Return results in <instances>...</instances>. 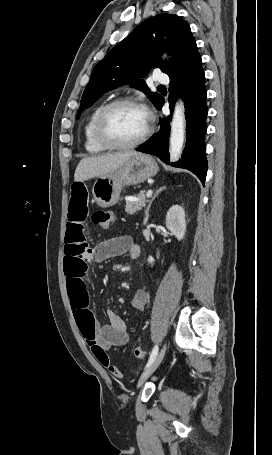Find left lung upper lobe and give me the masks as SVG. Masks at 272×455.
I'll return each instance as SVG.
<instances>
[{"mask_svg": "<svg viewBox=\"0 0 272 455\" xmlns=\"http://www.w3.org/2000/svg\"><path fill=\"white\" fill-rule=\"evenodd\" d=\"M163 52L172 56L171 64L160 62V53ZM198 57L195 39L186 21L175 14H159L148 19L95 66L76 119L104 93L130 83L149 95L156 106L162 96L151 92L145 81L138 78L157 67L170 76Z\"/></svg>", "mask_w": 272, "mask_h": 455, "instance_id": "1", "label": "left lung upper lobe"}]
</instances>
